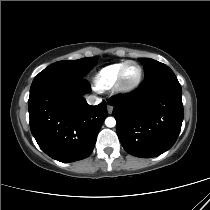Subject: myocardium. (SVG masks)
<instances>
[{
    "label": "myocardium",
    "mask_w": 210,
    "mask_h": 210,
    "mask_svg": "<svg viewBox=\"0 0 210 210\" xmlns=\"http://www.w3.org/2000/svg\"><path fill=\"white\" fill-rule=\"evenodd\" d=\"M129 64H135L139 69V74H138L137 78L133 82H130V83L126 82L124 79V71ZM142 78H143L142 66L136 61L128 60V61L124 62V64L121 66V68L118 72L117 80L115 83L116 89L121 93L132 92L140 85Z\"/></svg>",
    "instance_id": "obj_1"
}]
</instances>
